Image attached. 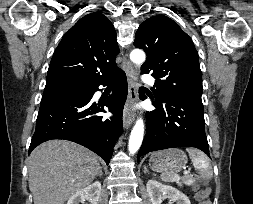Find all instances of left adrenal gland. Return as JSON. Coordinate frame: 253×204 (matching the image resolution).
<instances>
[{
    "label": "left adrenal gland",
    "instance_id": "a2214340",
    "mask_svg": "<svg viewBox=\"0 0 253 204\" xmlns=\"http://www.w3.org/2000/svg\"><path fill=\"white\" fill-rule=\"evenodd\" d=\"M144 172H145V173L148 172V169H147L146 166H144Z\"/></svg>",
    "mask_w": 253,
    "mask_h": 204
}]
</instances>
